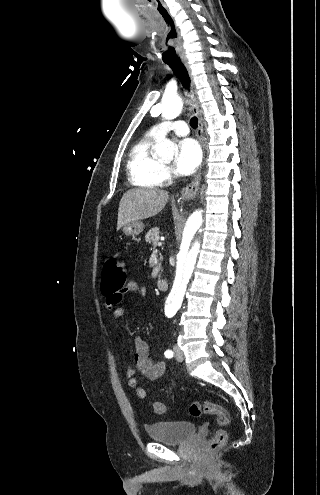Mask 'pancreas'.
Masks as SVG:
<instances>
[{
	"label": "pancreas",
	"mask_w": 320,
	"mask_h": 495,
	"mask_svg": "<svg viewBox=\"0 0 320 495\" xmlns=\"http://www.w3.org/2000/svg\"><path fill=\"white\" fill-rule=\"evenodd\" d=\"M145 240L149 244L156 246L159 240V229L156 227L148 231V233L145 236Z\"/></svg>",
	"instance_id": "cf45deb5"
}]
</instances>
